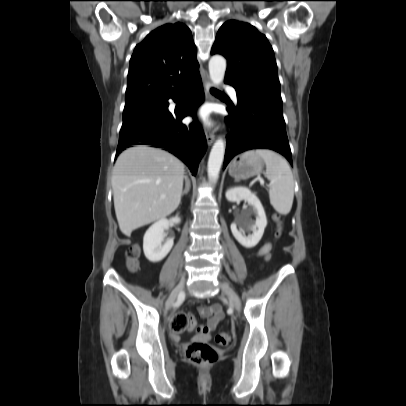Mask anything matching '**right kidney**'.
I'll return each instance as SVG.
<instances>
[{"instance_id": "1", "label": "right kidney", "mask_w": 406, "mask_h": 406, "mask_svg": "<svg viewBox=\"0 0 406 406\" xmlns=\"http://www.w3.org/2000/svg\"><path fill=\"white\" fill-rule=\"evenodd\" d=\"M180 218L161 219L155 222L145 233L143 238V250L150 262H159L164 259L173 247V239L164 242V230L172 224L180 223Z\"/></svg>"}]
</instances>
